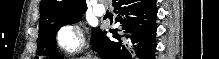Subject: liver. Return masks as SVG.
<instances>
[{
  "mask_svg": "<svg viewBox=\"0 0 219 59\" xmlns=\"http://www.w3.org/2000/svg\"><path fill=\"white\" fill-rule=\"evenodd\" d=\"M81 59H89V58H81Z\"/></svg>",
  "mask_w": 219,
  "mask_h": 59,
  "instance_id": "1",
  "label": "liver"
}]
</instances>
